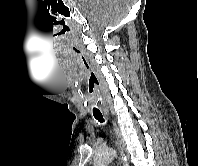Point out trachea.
I'll return each mask as SVG.
<instances>
[{
	"label": "trachea",
	"instance_id": "3493384b",
	"mask_svg": "<svg viewBox=\"0 0 198 166\" xmlns=\"http://www.w3.org/2000/svg\"><path fill=\"white\" fill-rule=\"evenodd\" d=\"M93 116H94L95 119L98 120L100 123L104 122V118H103L102 114L93 113Z\"/></svg>",
	"mask_w": 198,
	"mask_h": 166
}]
</instances>
